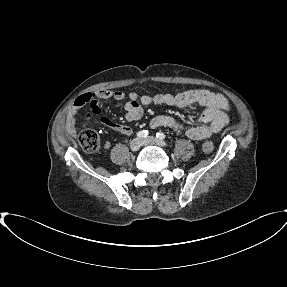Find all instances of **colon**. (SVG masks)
Listing matches in <instances>:
<instances>
[{"label": "colon", "mask_w": 287, "mask_h": 287, "mask_svg": "<svg viewBox=\"0 0 287 287\" xmlns=\"http://www.w3.org/2000/svg\"><path fill=\"white\" fill-rule=\"evenodd\" d=\"M80 146L86 152H96L100 148V138L98 134L94 131H83L78 137ZM203 151L209 153L214 149V142L212 140H207L202 145Z\"/></svg>", "instance_id": "5ec220e1"}]
</instances>
